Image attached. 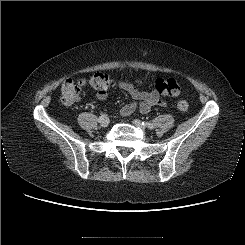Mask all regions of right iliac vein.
<instances>
[{"label": "right iliac vein", "mask_w": 245, "mask_h": 245, "mask_svg": "<svg viewBox=\"0 0 245 245\" xmlns=\"http://www.w3.org/2000/svg\"><path fill=\"white\" fill-rule=\"evenodd\" d=\"M100 125H101L102 127H107V126L109 125V121H108V120H102V121L100 122Z\"/></svg>", "instance_id": "1"}]
</instances>
